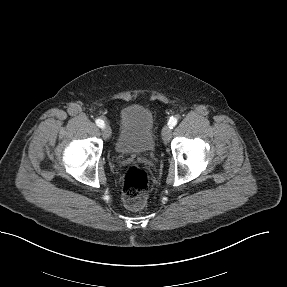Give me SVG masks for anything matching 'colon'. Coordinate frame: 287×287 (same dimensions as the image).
I'll return each mask as SVG.
<instances>
[{
    "mask_svg": "<svg viewBox=\"0 0 287 287\" xmlns=\"http://www.w3.org/2000/svg\"><path fill=\"white\" fill-rule=\"evenodd\" d=\"M149 176L147 171L137 165L128 167L123 176V201L132 210L142 208L147 201Z\"/></svg>",
    "mask_w": 287,
    "mask_h": 287,
    "instance_id": "colon-1",
    "label": "colon"
}]
</instances>
